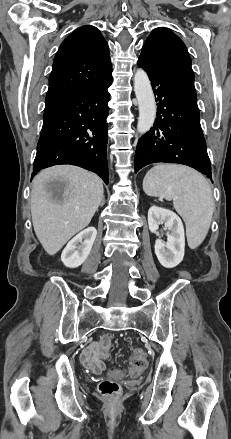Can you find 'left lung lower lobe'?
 <instances>
[{"mask_svg":"<svg viewBox=\"0 0 231 439\" xmlns=\"http://www.w3.org/2000/svg\"><path fill=\"white\" fill-rule=\"evenodd\" d=\"M138 66L147 72L157 96V118L137 144L135 172L156 162L178 163L212 179L196 94L147 54L141 53Z\"/></svg>","mask_w":231,"mask_h":439,"instance_id":"1","label":"left lung lower lobe"}]
</instances>
